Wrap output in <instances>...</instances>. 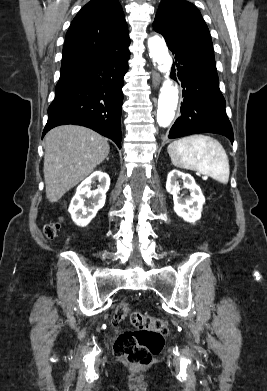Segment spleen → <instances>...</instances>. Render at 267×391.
Segmentation results:
<instances>
[{"label": "spleen", "mask_w": 267, "mask_h": 391, "mask_svg": "<svg viewBox=\"0 0 267 391\" xmlns=\"http://www.w3.org/2000/svg\"><path fill=\"white\" fill-rule=\"evenodd\" d=\"M167 150L174 166L198 171L222 184L228 183V156L216 139L196 134L172 142Z\"/></svg>", "instance_id": "obj_1"}]
</instances>
